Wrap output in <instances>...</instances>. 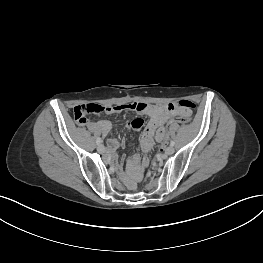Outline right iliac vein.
Wrapping results in <instances>:
<instances>
[{
    "instance_id": "right-iliac-vein-1",
    "label": "right iliac vein",
    "mask_w": 263,
    "mask_h": 263,
    "mask_svg": "<svg viewBox=\"0 0 263 263\" xmlns=\"http://www.w3.org/2000/svg\"><path fill=\"white\" fill-rule=\"evenodd\" d=\"M97 151L99 152V153H104L105 152V147H104V145H102V144H99L98 145V147H97Z\"/></svg>"
}]
</instances>
